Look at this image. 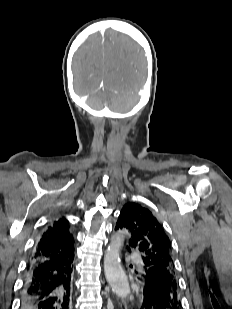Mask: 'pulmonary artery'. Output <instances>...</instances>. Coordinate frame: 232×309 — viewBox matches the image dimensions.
I'll use <instances>...</instances> for the list:
<instances>
[{
    "label": "pulmonary artery",
    "mask_w": 232,
    "mask_h": 309,
    "mask_svg": "<svg viewBox=\"0 0 232 309\" xmlns=\"http://www.w3.org/2000/svg\"><path fill=\"white\" fill-rule=\"evenodd\" d=\"M132 257L137 261L139 260V256L136 253L132 254Z\"/></svg>",
    "instance_id": "obj_1"
}]
</instances>
